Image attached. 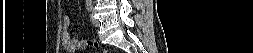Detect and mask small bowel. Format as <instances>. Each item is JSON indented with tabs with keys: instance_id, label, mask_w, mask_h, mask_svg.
I'll return each instance as SVG.
<instances>
[{
	"instance_id": "c3829d8e",
	"label": "small bowel",
	"mask_w": 253,
	"mask_h": 53,
	"mask_svg": "<svg viewBox=\"0 0 253 53\" xmlns=\"http://www.w3.org/2000/svg\"><path fill=\"white\" fill-rule=\"evenodd\" d=\"M69 17L64 16L62 19L63 28V46L68 52H74L76 49L80 48L78 45V39L74 38L68 32Z\"/></svg>"
}]
</instances>
